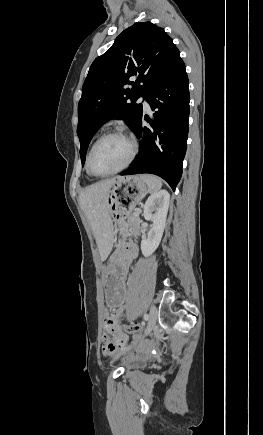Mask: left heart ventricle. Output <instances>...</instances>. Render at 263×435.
I'll use <instances>...</instances> for the list:
<instances>
[{
    "mask_svg": "<svg viewBox=\"0 0 263 435\" xmlns=\"http://www.w3.org/2000/svg\"><path fill=\"white\" fill-rule=\"evenodd\" d=\"M131 152L130 143L121 137H109L95 148L91 164L99 173H106L121 167Z\"/></svg>",
    "mask_w": 263,
    "mask_h": 435,
    "instance_id": "1",
    "label": "left heart ventricle"
}]
</instances>
